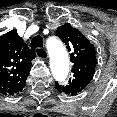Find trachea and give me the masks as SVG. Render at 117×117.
<instances>
[{
	"instance_id": "obj_1",
	"label": "trachea",
	"mask_w": 117,
	"mask_h": 117,
	"mask_svg": "<svg viewBox=\"0 0 117 117\" xmlns=\"http://www.w3.org/2000/svg\"><path fill=\"white\" fill-rule=\"evenodd\" d=\"M43 47V38L40 35H36L32 38L31 40V48L36 49V48H42ZM40 51V50H38Z\"/></svg>"
}]
</instances>
